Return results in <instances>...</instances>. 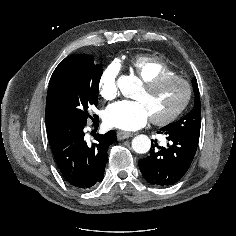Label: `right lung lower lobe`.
<instances>
[{
  "label": "right lung lower lobe",
  "instance_id": "right-lung-lower-lobe-1",
  "mask_svg": "<svg viewBox=\"0 0 236 236\" xmlns=\"http://www.w3.org/2000/svg\"><path fill=\"white\" fill-rule=\"evenodd\" d=\"M86 126V125H85ZM70 128L50 142L52 153L64 179L74 188L87 190L104 177L108 147L117 141L114 130L94 136L95 142L88 145L84 140V128ZM95 129L99 118L93 120Z\"/></svg>",
  "mask_w": 236,
  "mask_h": 236
}]
</instances>
